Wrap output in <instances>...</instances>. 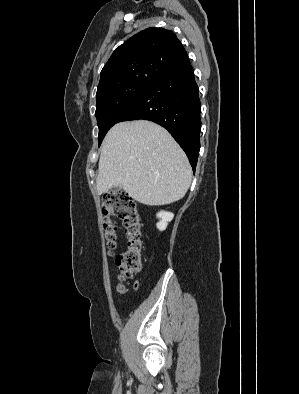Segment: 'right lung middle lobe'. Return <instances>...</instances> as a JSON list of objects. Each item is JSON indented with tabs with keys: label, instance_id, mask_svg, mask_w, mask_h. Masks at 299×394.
Returning a JSON list of instances; mask_svg holds the SVG:
<instances>
[{
	"label": "right lung middle lobe",
	"instance_id": "dd1d6c3e",
	"mask_svg": "<svg viewBox=\"0 0 299 394\" xmlns=\"http://www.w3.org/2000/svg\"><path fill=\"white\" fill-rule=\"evenodd\" d=\"M150 85L151 83L130 82L96 95L95 116L99 127V145L107 131Z\"/></svg>",
	"mask_w": 299,
	"mask_h": 394
}]
</instances>
